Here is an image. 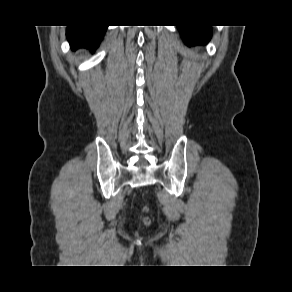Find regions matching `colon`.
Wrapping results in <instances>:
<instances>
[{
    "instance_id": "colon-1",
    "label": "colon",
    "mask_w": 292,
    "mask_h": 292,
    "mask_svg": "<svg viewBox=\"0 0 292 292\" xmlns=\"http://www.w3.org/2000/svg\"><path fill=\"white\" fill-rule=\"evenodd\" d=\"M144 222H145V223H148V220H147V218H145V219H144Z\"/></svg>"
}]
</instances>
